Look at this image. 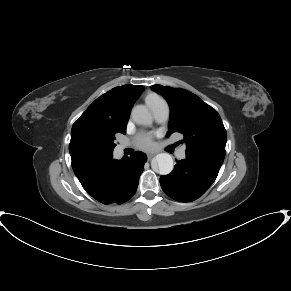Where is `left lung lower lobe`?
Instances as JSON below:
<instances>
[{"mask_svg":"<svg viewBox=\"0 0 291 291\" xmlns=\"http://www.w3.org/2000/svg\"><path fill=\"white\" fill-rule=\"evenodd\" d=\"M224 159L186 152L174 170L160 177L163 191L174 200L191 202L202 196L215 181Z\"/></svg>","mask_w":291,"mask_h":291,"instance_id":"obj_1","label":"left lung lower lobe"}]
</instances>
